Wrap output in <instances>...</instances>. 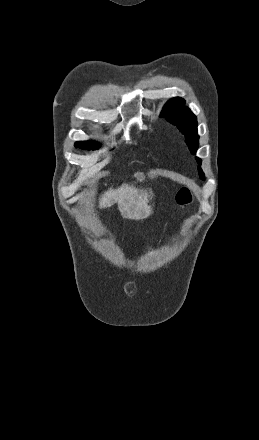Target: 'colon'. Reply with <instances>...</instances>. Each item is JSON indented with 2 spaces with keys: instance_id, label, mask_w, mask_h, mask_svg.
Segmentation results:
<instances>
[{
  "instance_id": "5ec220e1",
  "label": "colon",
  "mask_w": 259,
  "mask_h": 440,
  "mask_svg": "<svg viewBox=\"0 0 259 440\" xmlns=\"http://www.w3.org/2000/svg\"><path fill=\"white\" fill-rule=\"evenodd\" d=\"M176 201L181 207H185L192 203L193 193L188 187H182L176 196Z\"/></svg>"
}]
</instances>
